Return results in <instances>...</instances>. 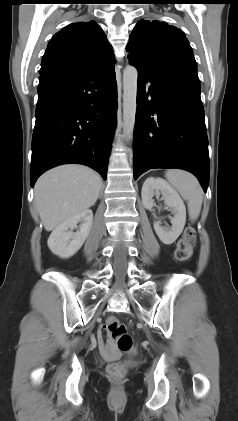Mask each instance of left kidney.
<instances>
[{
  "label": "left kidney",
  "mask_w": 238,
  "mask_h": 421,
  "mask_svg": "<svg viewBox=\"0 0 238 421\" xmlns=\"http://www.w3.org/2000/svg\"><path fill=\"white\" fill-rule=\"evenodd\" d=\"M160 194L164 203L172 209L174 216L171 218L172 226L170 228H163L159 222H154V229L159 239L164 244L170 245L183 231L186 222V208L178 193L161 178L145 180L141 190L143 206L151 210L154 205L153 197Z\"/></svg>",
  "instance_id": "left-kidney-1"
}]
</instances>
